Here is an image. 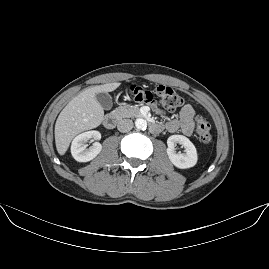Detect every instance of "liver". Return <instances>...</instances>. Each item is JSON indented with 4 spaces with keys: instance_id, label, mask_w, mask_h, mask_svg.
<instances>
[{
    "instance_id": "liver-1",
    "label": "liver",
    "mask_w": 269,
    "mask_h": 269,
    "mask_svg": "<svg viewBox=\"0 0 269 269\" xmlns=\"http://www.w3.org/2000/svg\"><path fill=\"white\" fill-rule=\"evenodd\" d=\"M119 83L93 86L74 97L61 111L55 125V139L58 152L64 154L71 140L80 132L100 125L103 109L96 99V93L116 89Z\"/></svg>"
}]
</instances>
